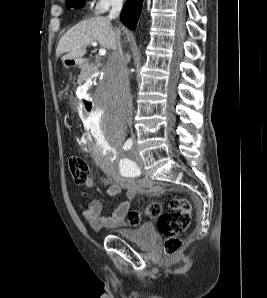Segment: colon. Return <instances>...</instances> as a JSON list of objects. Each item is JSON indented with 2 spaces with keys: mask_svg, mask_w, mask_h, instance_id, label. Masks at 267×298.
<instances>
[{
  "mask_svg": "<svg viewBox=\"0 0 267 298\" xmlns=\"http://www.w3.org/2000/svg\"><path fill=\"white\" fill-rule=\"evenodd\" d=\"M68 167L74 182L85 185L89 178V166L79 156L71 155L67 159ZM144 217L157 219L159 232L165 237L163 250L166 256H173L182 247L181 236L191 222V205L185 198H173L168 204V210L160 202H151L143 210H131L126 215L130 226H138Z\"/></svg>",
  "mask_w": 267,
  "mask_h": 298,
  "instance_id": "obj_1",
  "label": "colon"
}]
</instances>
